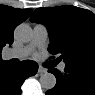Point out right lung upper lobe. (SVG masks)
<instances>
[{"label":"right lung upper lobe","instance_id":"right-lung-upper-lobe-1","mask_svg":"<svg viewBox=\"0 0 95 95\" xmlns=\"http://www.w3.org/2000/svg\"><path fill=\"white\" fill-rule=\"evenodd\" d=\"M32 10L18 9L10 6L0 5V65L8 61L1 58V50L6 45H11L14 41L13 32L15 27L25 21Z\"/></svg>","mask_w":95,"mask_h":95}]
</instances>
